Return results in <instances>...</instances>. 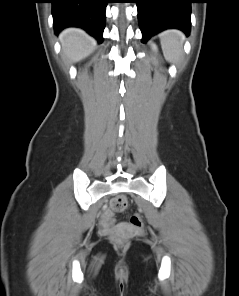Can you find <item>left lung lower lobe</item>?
<instances>
[{"label":"left lung lower lobe","mask_w":239,"mask_h":296,"mask_svg":"<svg viewBox=\"0 0 239 296\" xmlns=\"http://www.w3.org/2000/svg\"><path fill=\"white\" fill-rule=\"evenodd\" d=\"M193 0H135L138 9L142 42L168 28L190 33Z\"/></svg>","instance_id":"0a47b994"}]
</instances>
